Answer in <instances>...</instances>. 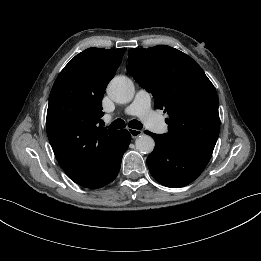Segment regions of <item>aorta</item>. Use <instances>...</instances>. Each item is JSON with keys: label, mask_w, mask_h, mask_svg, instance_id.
<instances>
[{"label": "aorta", "mask_w": 261, "mask_h": 261, "mask_svg": "<svg viewBox=\"0 0 261 261\" xmlns=\"http://www.w3.org/2000/svg\"><path fill=\"white\" fill-rule=\"evenodd\" d=\"M107 93L116 103L126 104L132 101L135 87L126 76L114 77L107 87ZM155 142L149 135H141L135 141V147L140 153L148 154L154 149Z\"/></svg>", "instance_id": "obj_1"}]
</instances>
